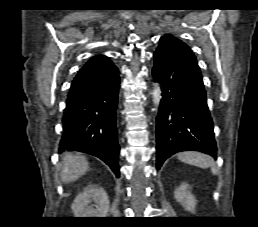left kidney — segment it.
<instances>
[{"label":"left kidney","mask_w":258,"mask_h":227,"mask_svg":"<svg viewBox=\"0 0 258 227\" xmlns=\"http://www.w3.org/2000/svg\"><path fill=\"white\" fill-rule=\"evenodd\" d=\"M189 185L183 183L175 190V199L184 207L185 210L190 212L195 211L197 201L195 196L188 190Z\"/></svg>","instance_id":"1"}]
</instances>
